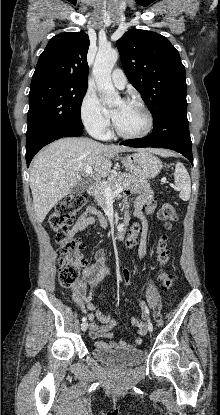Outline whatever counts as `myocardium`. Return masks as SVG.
I'll return each mask as SVG.
<instances>
[{"mask_svg": "<svg viewBox=\"0 0 220 415\" xmlns=\"http://www.w3.org/2000/svg\"><path fill=\"white\" fill-rule=\"evenodd\" d=\"M124 102L140 107L144 111V113L146 114L148 123H147V127L145 128L144 131H142L140 133H136V134H129V133H125V132L121 131L119 129V127L117 126L116 121H114V130H115L116 134L118 136L122 137V138H125V139H140V138H144V137L148 136L151 133V131L153 130L154 123H155L152 111L149 109V107L143 101H141L139 99L127 98V99L124 100Z\"/></svg>", "mask_w": 220, "mask_h": 415, "instance_id": "myocardium-1", "label": "myocardium"}]
</instances>
